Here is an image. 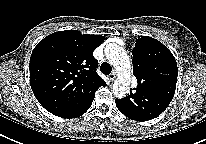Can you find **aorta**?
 I'll return each instance as SVG.
<instances>
[{
    "instance_id": "aorta-1",
    "label": "aorta",
    "mask_w": 206,
    "mask_h": 144,
    "mask_svg": "<svg viewBox=\"0 0 206 144\" xmlns=\"http://www.w3.org/2000/svg\"><path fill=\"white\" fill-rule=\"evenodd\" d=\"M108 62L114 66L118 73L112 90L117 98H124L129 92L131 62L125 50L117 44L110 43L105 47Z\"/></svg>"
}]
</instances>
